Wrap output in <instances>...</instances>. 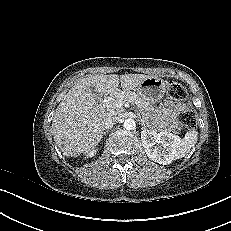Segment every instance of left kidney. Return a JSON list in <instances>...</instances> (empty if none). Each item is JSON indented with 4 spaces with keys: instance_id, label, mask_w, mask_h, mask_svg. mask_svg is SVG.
<instances>
[{
    "instance_id": "left-kidney-1",
    "label": "left kidney",
    "mask_w": 231,
    "mask_h": 231,
    "mask_svg": "<svg viewBox=\"0 0 231 231\" xmlns=\"http://www.w3.org/2000/svg\"><path fill=\"white\" fill-rule=\"evenodd\" d=\"M141 141L147 156L152 161L167 165L174 160L181 138L168 132L157 133L154 130H143Z\"/></svg>"
}]
</instances>
